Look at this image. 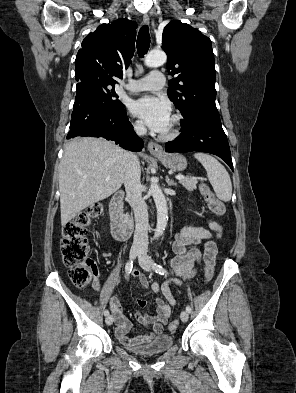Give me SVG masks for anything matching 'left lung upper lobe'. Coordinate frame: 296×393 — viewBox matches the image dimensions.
Instances as JSON below:
<instances>
[{
	"label": "left lung upper lobe",
	"mask_w": 296,
	"mask_h": 393,
	"mask_svg": "<svg viewBox=\"0 0 296 393\" xmlns=\"http://www.w3.org/2000/svg\"><path fill=\"white\" fill-rule=\"evenodd\" d=\"M167 53L168 96L184 117L181 126L204 112H218L211 40L188 24L171 21L163 31Z\"/></svg>",
	"instance_id": "obj_1"
}]
</instances>
